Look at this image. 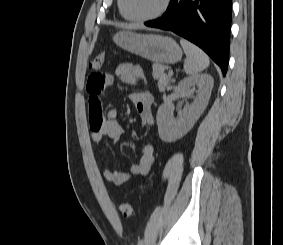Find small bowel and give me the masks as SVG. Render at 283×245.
I'll return each instance as SVG.
<instances>
[{"label": "small bowel", "instance_id": "1", "mask_svg": "<svg viewBox=\"0 0 283 245\" xmlns=\"http://www.w3.org/2000/svg\"><path fill=\"white\" fill-rule=\"evenodd\" d=\"M115 77L126 84H148L144 70L140 66L131 63L119 64L114 75L94 72L88 76L86 90L89 94L90 140L95 144H100L104 137L117 141L124 133L122 126L117 120L118 113L116 108H110L106 113H103L99 100V95L104 89L113 84ZM130 99L136 107L142 126H154L155 119L152 112L154 96L152 92L148 89L134 92L130 94ZM154 160V148L152 145L146 144L142 148L139 162L131 166L128 172H122L109 167L103 168L101 162L98 161L97 173L99 177L106 181L115 185H121L131 176L147 175Z\"/></svg>", "mask_w": 283, "mask_h": 245}]
</instances>
